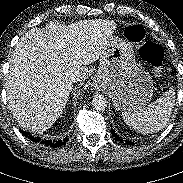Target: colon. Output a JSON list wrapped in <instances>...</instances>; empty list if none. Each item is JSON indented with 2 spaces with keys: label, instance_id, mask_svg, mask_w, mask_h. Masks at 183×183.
<instances>
[{
  "label": "colon",
  "instance_id": "colon-1",
  "mask_svg": "<svg viewBox=\"0 0 183 183\" xmlns=\"http://www.w3.org/2000/svg\"><path fill=\"white\" fill-rule=\"evenodd\" d=\"M125 36L136 44L140 57L153 67L156 74H160L164 50L159 44L147 40L145 28L140 25L129 26L125 30Z\"/></svg>",
  "mask_w": 183,
  "mask_h": 183
}]
</instances>
